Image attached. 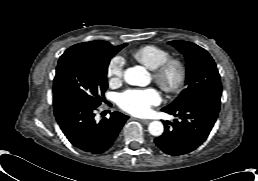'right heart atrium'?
Segmentation results:
<instances>
[{"mask_svg": "<svg viewBox=\"0 0 258 181\" xmlns=\"http://www.w3.org/2000/svg\"><path fill=\"white\" fill-rule=\"evenodd\" d=\"M125 60L122 56H115L107 67V77L110 82H120L124 74Z\"/></svg>", "mask_w": 258, "mask_h": 181, "instance_id": "1", "label": "right heart atrium"}]
</instances>
